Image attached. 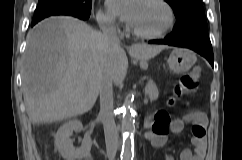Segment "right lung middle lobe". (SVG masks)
Listing matches in <instances>:
<instances>
[{
	"mask_svg": "<svg viewBox=\"0 0 242 160\" xmlns=\"http://www.w3.org/2000/svg\"><path fill=\"white\" fill-rule=\"evenodd\" d=\"M92 0H38L32 22L52 15H69L80 19L90 16Z\"/></svg>",
	"mask_w": 242,
	"mask_h": 160,
	"instance_id": "right-lung-middle-lobe-1",
	"label": "right lung middle lobe"
}]
</instances>
